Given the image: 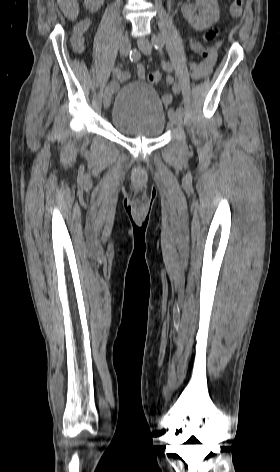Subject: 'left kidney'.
Masks as SVG:
<instances>
[{
	"label": "left kidney",
	"mask_w": 280,
	"mask_h": 472,
	"mask_svg": "<svg viewBox=\"0 0 280 472\" xmlns=\"http://www.w3.org/2000/svg\"><path fill=\"white\" fill-rule=\"evenodd\" d=\"M195 5L186 4L182 7L185 19L196 30H204L212 26L219 19V5L217 0H195ZM201 8L199 15L195 12Z\"/></svg>",
	"instance_id": "1"
}]
</instances>
